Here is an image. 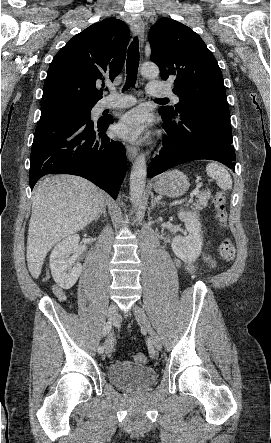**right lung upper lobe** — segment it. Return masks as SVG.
<instances>
[{"mask_svg":"<svg viewBox=\"0 0 271 443\" xmlns=\"http://www.w3.org/2000/svg\"><path fill=\"white\" fill-rule=\"evenodd\" d=\"M130 39L128 26L108 18L75 35L53 58L44 82L41 103L74 100L96 103L104 80L121 72Z\"/></svg>","mask_w":271,"mask_h":443,"instance_id":"1","label":"right lung upper lobe"}]
</instances>
